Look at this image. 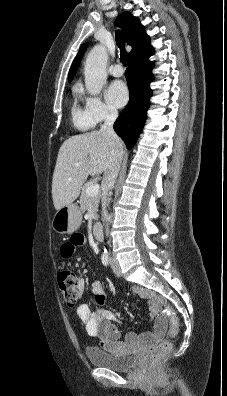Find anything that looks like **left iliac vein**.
Masks as SVG:
<instances>
[{
	"label": "left iliac vein",
	"instance_id": "4c4485c4",
	"mask_svg": "<svg viewBox=\"0 0 227 396\" xmlns=\"http://www.w3.org/2000/svg\"><path fill=\"white\" fill-rule=\"evenodd\" d=\"M111 267L113 269V272L117 275V276H121V269H120V265L118 263V261L116 259H111Z\"/></svg>",
	"mask_w": 227,
	"mask_h": 396
}]
</instances>
